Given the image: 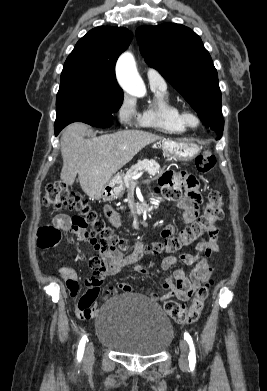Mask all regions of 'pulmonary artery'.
Instances as JSON below:
<instances>
[{
	"label": "pulmonary artery",
	"instance_id": "1",
	"mask_svg": "<svg viewBox=\"0 0 267 391\" xmlns=\"http://www.w3.org/2000/svg\"><path fill=\"white\" fill-rule=\"evenodd\" d=\"M146 74L151 87L166 88L165 80L157 71L154 69H148Z\"/></svg>",
	"mask_w": 267,
	"mask_h": 391
}]
</instances>
